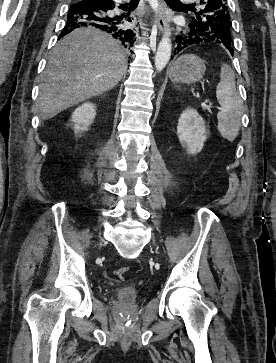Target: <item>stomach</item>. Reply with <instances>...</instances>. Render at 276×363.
Listing matches in <instances>:
<instances>
[{
  "label": "stomach",
  "instance_id": "0dacf381",
  "mask_svg": "<svg viewBox=\"0 0 276 363\" xmlns=\"http://www.w3.org/2000/svg\"><path fill=\"white\" fill-rule=\"evenodd\" d=\"M206 71L205 61L196 55L180 56L172 65L170 79L173 83L187 85L201 81Z\"/></svg>",
  "mask_w": 276,
  "mask_h": 363
}]
</instances>
